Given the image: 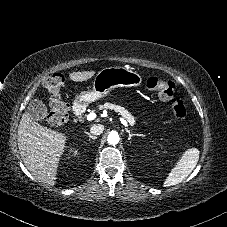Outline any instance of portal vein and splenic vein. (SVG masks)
<instances>
[{"instance_id":"18ae733b","label":"portal vein and splenic vein","mask_w":227,"mask_h":227,"mask_svg":"<svg viewBox=\"0 0 227 227\" xmlns=\"http://www.w3.org/2000/svg\"><path fill=\"white\" fill-rule=\"evenodd\" d=\"M96 118V114L95 113H89L88 115H87V117H86V119L88 120V121H92V120H94ZM121 123L124 125V126H126V127H128V123H127V121L126 120H124V119H121Z\"/></svg>"}]
</instances>
